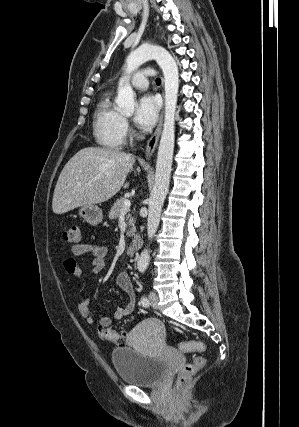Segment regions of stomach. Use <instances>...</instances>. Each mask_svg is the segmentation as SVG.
Listing matches in <instances>:
<instances>
[{
    "label": "stomach",
    "mask_w": 299,
    "mask_h": 427,
    "mask_svg": "<svg viewBox=\"0 0 299 427\" xmlns=\"http://www.w3.org/2000/svg\"><path fill=\"white\" fill-rule=\"evenodd\" d=\"M78 214L81 218L93 226L98 225L103 220L102 209L95 204L81 206Z\"/></svg>",
    "instance_id": "obj_1"
}]
</instances>
